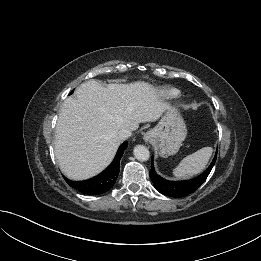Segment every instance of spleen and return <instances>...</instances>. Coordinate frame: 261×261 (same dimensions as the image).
<instances>
[{"mask_svg":"<svg viewBox=\"0 0 261 261\" xmlns=\"http://www.w3.org/2000/svg\"><path fill=\"white\" fill-rule=\"evenodd\" d=\"M212 152L211 147H204L186 156L174 169L173 174L177 178H186L200 173L207 165Z\"/></svg>","mask_w":261,"mask_h":261,"instance_id":"spleen-1","label":"spleen"}]
</instances>
